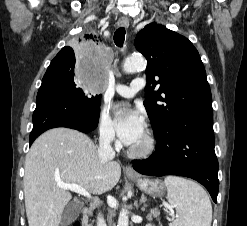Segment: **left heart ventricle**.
<instances>
[{"mask_svg": "<svg viewBox=\"0 0 247 226\" xmlns=\"http://www.w3.org/2000/svg\"><path fill=\"white\" fill-rule=\"evenodd\" d=\"M145 139H146V136H145V133H144V135L136 143L131 145V147L135 148V149L141 148L145 143Z\"/></svg>", "mask_w": 247, "mask_h": 226, "instance_id": "left-heart-ventricle-1", "label": "left heart ventricle"}]
</instances>
